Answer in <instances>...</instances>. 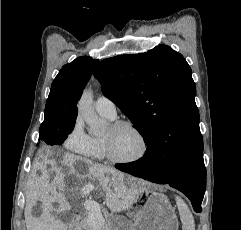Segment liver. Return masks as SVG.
I'll list each match as a JSON object with an SVG mask.
<instances>
[{
  "label": "liver",
  "mask_w": 241,
  "mask_h": 230,
  "mask_svg": "<svg viewBox=\"0 0 241 230\" xmlns=\"http://www.w3.org/2000/svg\"><path fill=\"white\" fill-rule=\"evenodd\" d=\"M41 158L43 162L36 163L39 173L35 171L26 188L24 216L27 230H67V225L53 213L69 210L71 205L66 195L72 196L71 193L84 191L88 186L95 190L102 187L106 205L112 212L128 209L139 194L141 182L131 177L125 180L124 174L114 168L92 163L72 153H64L60 159H48L43 155ZM81 163L84 164L82 171L79 168ZM51 175L53 180L50 182ZM68 177L76 178L74 187L67 186ZM83 182L85 184L81 187ZM37 202L41 203L42 213L35 217L32 208ZM55 202L59 203L57 210L53 207Z\"/></svg>",
  "instance_id": "1"
}]
</instances>
